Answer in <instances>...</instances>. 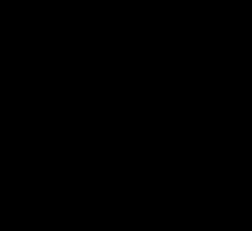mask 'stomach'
Returning a JSON list of instances; mask_svg holds the SVG:
<instances>
[{
    "label": "stomach",
    "mask_w": 252,
    "mask_h": 231,
    "mask_svg": "<svg viewBox=\"0 0 252 231\" xmlns=\"http://www.w3.org/2000/svg\"><path fill=\"white\" fill-rule=\"evenodd\" d=\"M137 65L145 75L150 77L175 70L174 61L170 57L154 51L143 53L138 58Z\"/></svg>",
    "instance_id": "stomach-1"
}]
</instances>
